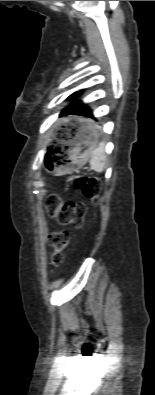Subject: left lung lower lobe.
<instances>
[{"instance_id": "obj_1", "label": "left lung lower lobe", "mask_w": 155, "mask_h": 395, "mask_svg": "<svg viewBox=\"0 0 155 395\" xmlns=\"http://www.w3.org/2000/svg\"><path fill=\"white\" fill-rule=\"evenodd\" d=\"M79 115L90 116V117L93 118V115H92L91 111H90L86 106L84 107V110L82 111V114H79ZM90 131L93 132V131H94V128L92 127V128L90 129Z\"/></svg>"}]
</instances>
